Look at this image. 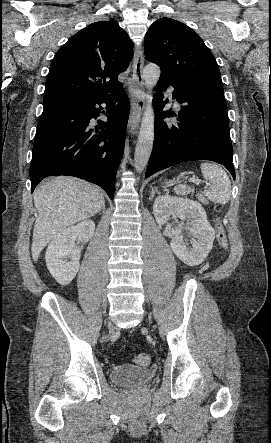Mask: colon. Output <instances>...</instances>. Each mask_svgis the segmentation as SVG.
<instances>
[{
	"label": "colon",
	"instance_id": "obj_1",
	"mask_svg": "<svg viewBox=\"0 0 271 443\" xmlns=\"http://www.w3.org/2000/svg\"><path fill=\"white\" fill-rule=\"evenodd\" d=\"M215 228H216L217 240H218L220 247L222 249H226L228 247V239H227V235H226L224 226L220 220L216 221ZM134 361L138 365L146 366L150 362V357L147 353H139L134 357Z\"/></svg>",
	"mask_w": 271,
	"mask_h": 443
}]
</instances>
